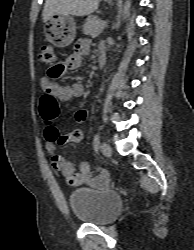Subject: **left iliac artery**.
<instances>
[{
    "instance_id": "1",
    "label": "left iliac artery",
    "mask_w": 194,
    "mask_h": 250,
    "mask_svg": "<svg viewBox=\"0 0 194 250\" xmlns=\"http://www.w3.org/2000/svg\"><path fill=\"white\" fill-rule=\"evenodd\" d=\"M99 145H100V135L97 133L95 135L94 141H93V148H94L95 152L98 151Z\"/></svg>"
}]
</instances>
